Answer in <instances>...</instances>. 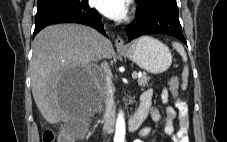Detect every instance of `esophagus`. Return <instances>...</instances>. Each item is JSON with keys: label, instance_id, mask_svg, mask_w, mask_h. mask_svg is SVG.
Masks as SVG:
<instances>
[{"label": "esophagus", "instance_id": "34e87169", "mask_svg": "<svg viewBox=\"0 0 227 142\" xmlns=\"http://www.w3.org/2000/svg\"><path fill=\"white\" fill-rule=\"evenodd\" d=\"M115 46L117 49H124L127 47L124 39L120 36H118L116 39H115Z\"/></svg>", "mask_w": 227, "mask_h": 142}]
</instances>
